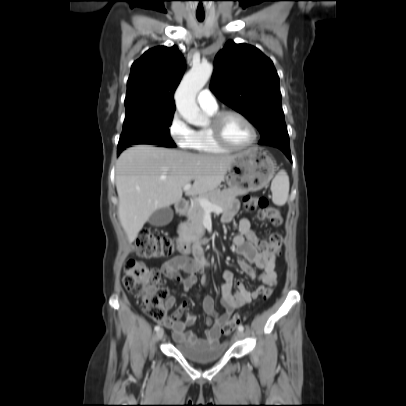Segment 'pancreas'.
Here are the masks:
<instances>
[{
    "mask_svg": "<svg viewBox=\"0 0 406 406\" xmlns=\"http://www.w3.org/2000/svg\"><path fill=\"white\" fill-rule=\"evenodd\" d=\"M244 193V191L237 188H228L222 191L217 189L208 194H203L194 198L187 210L188 221L180 225L179 233L189 240H195L197 237L204 234L205 228L203 226V219L205 210L200 206V199H207L211 203L219 206L222 211H226L230 208L236 197Z\"/></svg>",
    "mask_w": 406,
    "mask_h": 406,
    "instance_id": "1",
    "label": "pancreas"
}]
</instances>
